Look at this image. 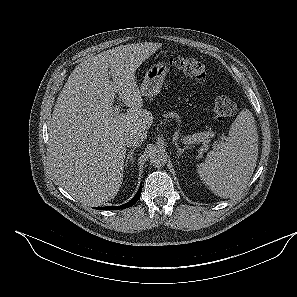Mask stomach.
Returning <instances> with one entry per match:
<instances>
[{"label": "stomach", "mask_w": 297, "mask_h": 297, "mask_svg": "<svg viewBox=\"0 0 297 297\" xmlns=\"http://www.w3.org/2000/svg\"><path fill=\"white\" fill-rule=\"evenodd\" d=\"M169 67V63L165 61H159L151 65L140 87L143 96L153 97L160 92L165 77L169 72Z\"/></svg>", "instance_id": "obj_1"}]
</instances>
